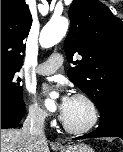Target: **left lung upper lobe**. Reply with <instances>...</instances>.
Masks as SVG:
<instances>
[{
  "label": "left lung upper lobe",
  "mask_w": 123,
  "mask_h": 152,
  "mask_svg": "<svg viewBox=\"0 0 123 152\" xmlns=\"http://www.w3.org/2000/svg\"><path fill=\"white\" fill-rule=\"evenodd\" d=\"M64 43L69 79L101 110L123 101V22L98 0H74ZM78 53L81 58L73 61Z\"/></svg>",
  "instance_id": "left-lung-upper-lobe-1"
}]
</instances>
